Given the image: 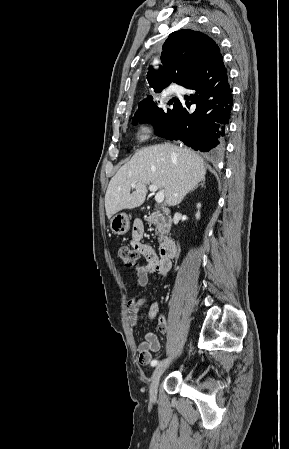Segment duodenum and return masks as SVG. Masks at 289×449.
<instances>
[{"mask_svg":"<svg viewBox=\"0 0 289 449\" xmlns=\"http://www.w3.org/2000/svg\"><path fill=\"white\" fill-rule=\"evenodd\" d=\"M162 213L168 214V210L164 209L162 210ZM176 253V243L172 239H166L164 240L160 245V255L163 258L170 259L172 258Z\"/></svg>","mask_w":289,"mask_h":449,"instance_id":"obj_1","label":"duodenum"}]
</instances>
